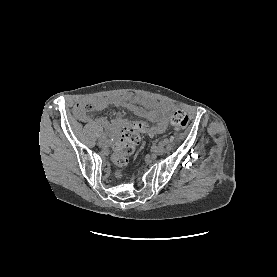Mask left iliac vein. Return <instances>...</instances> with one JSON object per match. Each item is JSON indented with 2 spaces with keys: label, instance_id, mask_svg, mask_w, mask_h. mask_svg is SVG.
<instances>
[{
  "label": "left iliac vein",
  "instance_id": "obj_1",
  "mask_svg": "<svg viewBox=\"0 0 277 277\" xmlns=\"http://www.w3.org/2000/svg\"><path fill=\"white\" fill-rule=\"evenodd\" d=\"M153 151L156 155H162L165 151V148L163 145H158L154 147Z\"/></svg>",
  "mask_w": 277,
  "mask_h": 277
}]
</instances>
